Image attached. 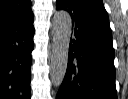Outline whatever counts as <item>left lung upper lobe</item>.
I'll list each match as a JSON object with an SVG mask.
<instances>
[{
  "label": "left lung upper lobe",
  "instance_id": "1",
  "mask_svg": "<svg viewBox=\"0 0 128 99\" xmlns=\"http://www.w3.org/2000/svg\"><path fill=\"white\" fill-rule=\"evenodd\" d=\"M69 6L73 11L86 13L108 19L102 0H57Z\"/></svg>",
  "mask_w": 128,
  "mask_h": 99
}]
</instances>
